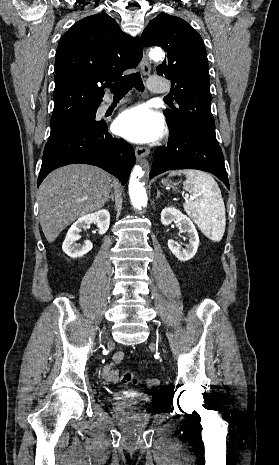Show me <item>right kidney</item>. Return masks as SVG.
<instances>
[{
    "mask_svg": "<svg viewBox=\"0 0 279 465\" xmlns=\"http://www.w3.org/2000/svg\"><path fill=\"white\" fill-rule=\"evenodd\" d=\"M95 222L99 228V234L103 235L109 228L110 214L106 209L99 210L95 213L86 214L80 217L68 230L62 245L63 251L71 258L82 257L87 254L93 247L91 241L86 240L84 244H77L80 238V232L87 225Z\"/></svg>",
    "mask_w": 279,
    "mask_h": 465,
    "instance_id": "1",
    "label": "right kidney"
}]
</instances>
